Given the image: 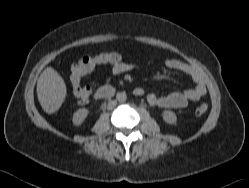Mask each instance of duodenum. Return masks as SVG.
<instances>
[{
    "label": "duodenum",
    "instance_id": "obj_1",
    "mask_svg": "<svg viewBox=\"0 0 249 188\" xmlns=\"http://www.w3.org/2000/svg\"><path fill=\"white\" fill-rule=\"evenodd\" d=\"M115 89L112 86H101L95 92V97L97 99H106L110 98L114 95ZM141 91L139 89L136 90V95H140Z\"/></svg>",
    "mask_w": 249,
    "mask_h": 188
}]
</instances>
